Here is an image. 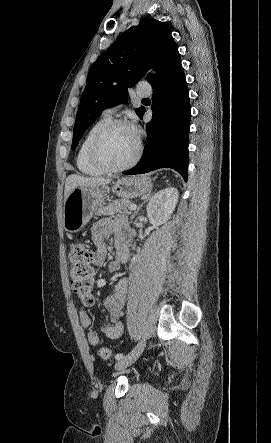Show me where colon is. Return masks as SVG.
Wrapping results in <instances>:
<instances>
[{
	"label": "colon",
	"mask_w": 271,
	"mask_h": 443,
	"mask_svg": "<svg viewBox=\"0 0 271 443\" xmlns=\"http://www.w3.org/2000/svg\"><path fill=\"white\" fill-rule=\"evenodd\" d=\"M67 257L70 263L72 289L84 305L91 306L94 302L92 295L94 252L88 242L74 241L69 244ZM97 354L104 360L112 359V352L106 347H99Z\"/></svg>",
	"instance_id": "obj_1"
}]
</instances>
